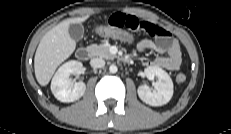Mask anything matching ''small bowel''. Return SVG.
<instances>
[{
  "label": "small bowel",
  "instance_id": "obj_1",
  "mask_svg": "<svg viewBox=\"0 0 231 134\" xmlns=\"http://www.w3.org/2000/svg\"><path fill=\"white\" fill-rule=\"evenodd\" d=\"M108 25L130 32H143L153 39H143L136 44V49L139 52L154 51L161 54L154 60L147 62V66L169 71H177L180 68L182 64L180 46L166 29L150 21L122 12L112 14L109 17Z\"/></svg>",
  "mask_w": 231,
  "mask_h": 134
}]
</instances>
